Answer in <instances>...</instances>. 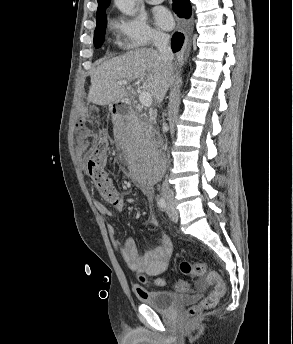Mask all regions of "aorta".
Wrapping results in <instances>:
<instances>
[{"label":"aorta","mask_w":293,"mask_h":344,"mask_svg":"<svg viewBox=\"0 0 293 344\" xmlns=\"http://www.w3.org/2000/svg\"><path fill=\"white\" fill-rule=\"evenodd\" d=\"M136 0H115L117 8L126 15L134 14Z\"/></svg>","instance_id":"1"}]
</instances>
